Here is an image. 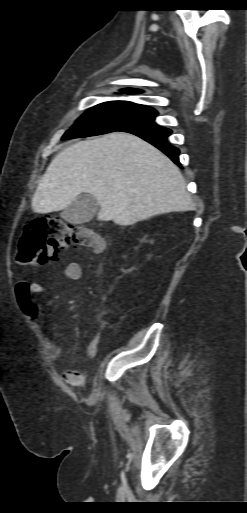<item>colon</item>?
Segmentation results:
<instances>
[{
	"mask_svg": "<svg viewBox=\"0 0 247 513\" xmlns=\"http://www.w3.org/2000/svg\"><path fill=\"white\" fill-rule=\"evenodd\" d=\"M104 245V238L87 227L71 225L56 217H44L25 226L18 241L16 259L23 265H40L56 260L59 253L70 246L101 251ZM92 347L96 351L98 342L94 341Z\"/></svg>",
	"mask_w": 247,
	"mask_h": 513,
	"instance_id": "5ec220e1",
	"label": "colon"
}]
</instances>
